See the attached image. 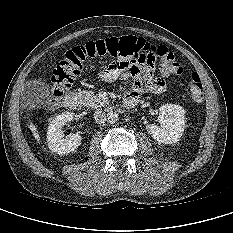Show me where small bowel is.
I'll list each match as a JSON object with an SVG mask.
<instances>
[{
	"label": "small bowel",
	"instance_id": "obj_1",
	"mask_svg": "<svg viewBox=\"0 0 233 233\" xmlns=\"http://www.w3.org/2000/svg\"><path fill=\"white\" fill-rule=\"evenodd\" d=\"M161 63V56L156 51H149L145 56L126 58L117 61L99 73L98 78L104 82H111L121 79L127 84L133 79L129 94L139 96L144 91L149 93H161L165 90L166 84L162 78H155L157 67Z\"/></svg>",
	"mask_w": 233,
	"mask_h": 233
}]
</instances>
